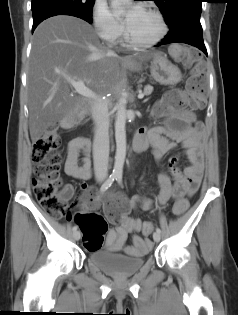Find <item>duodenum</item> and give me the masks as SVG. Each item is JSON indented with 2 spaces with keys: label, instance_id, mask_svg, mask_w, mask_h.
<instances>
[{
  "label": "duodenum",
  "instance_id": "duodenum-1",
  "mask_svg": "<svg viewBox=\"0 0 238 315\" xmlns=\"http://www.w3.org/2000/svg\"><path fill=\"white\" fill-rule=\"evenodd\" d=\"M132 148L135 152H139L138 144L134 139H133V143H132Z\"/></svg>",
  "mask_w": 238,
  "mask_h": 315
}]
</instances>
